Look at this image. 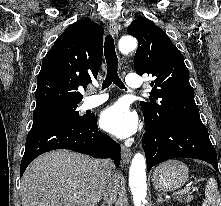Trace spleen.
<instances>
[{
  "instance_id": "3e777b00",
  "label": "spleen",
  "mask_w": 221,
  "mask_h": 206,
  "mask_svg": "<svg viewBox=\"0 0 221 206\" xmlns=\"http://www.w3.org/2000/svg\"><path fill=\"white\" fill-rule=\"evenodd\" d=\"M206 199L202 206H221L218 185L214 178H210L205 189Z\"/></svg>"
}]
</instances>
